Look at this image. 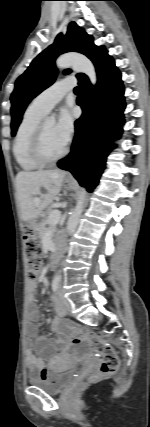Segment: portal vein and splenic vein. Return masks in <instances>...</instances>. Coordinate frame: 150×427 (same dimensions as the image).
Wrapping results in <instances>:
<instances>
[{"label":"portal vein and splenic vein","mask_w":150,"mask_h":427,"mask_svg":"<svg viewBox=\"0 0 150 427\" xmlns=\"http://www.w3.org/2000/svg\"><path fill=\"white\" fill-rule=\"evenodd\" d=\"M34 202L35 203H39L40 202V198H35L34 199ZM60 216H61V212L59 211V210H53L51 213H50V215H49V221H50V224H56L58 221H59V219H60Z\"/></svg>","instance_id":"portal-vein-and-splenic-vein-1"}]
</instances>
